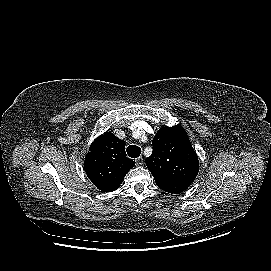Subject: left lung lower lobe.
Listing matches in <instances>:
<instances>
[{
    "mask_svg": "<svg viewBox=\"0 0 271 271\" xmlns=\"http://www.w3.org/2000/svg\"><path fill=\"white\" fill-rule=\"evenodd\" d=\"M179 185H180V188L182 189V191H184L185 189H187V187H189L186 183H182V182L179 183Z\"/></svg>",
    "mask_w": 271,
    "mask_h": 271,
    "instance_id": "1",
    "label": "left lung lower lobe"
}]
</instances>
